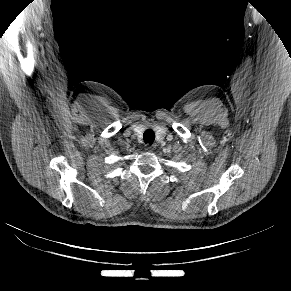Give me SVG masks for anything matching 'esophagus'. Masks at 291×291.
Returning <instances> with one entry per match:
<instances>
[{
    "label": "esophagus",
    "instance_id": "obj_1",
    "mask_svg": "<svg viewBox=\"0 0 291 291\" xmlns=\"http://www.w3.org/2000/svg\"><path fill=\"white\" fill-rule=\"evenodd\" d=\"M154 148H155L154 145H147L146 146V150H148V151H152V150H154Z\"/></svg>",
    "mask_w": 291,
    "mask_h": 291
}]
</instances>
